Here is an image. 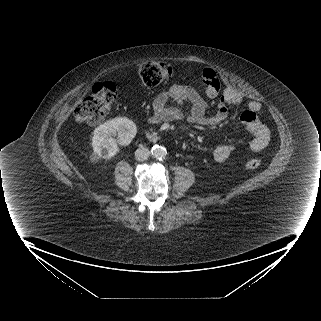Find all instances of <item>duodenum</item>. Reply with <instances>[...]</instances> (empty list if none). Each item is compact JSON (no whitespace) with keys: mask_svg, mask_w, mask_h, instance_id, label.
<instances>
[{"mask_svg":"<svg viewBox=\"0 0 321 321\" xmlns=\"http://www.w3.org/2000/svg\"><path fill=\"white\" fill-rule=\"evenodd\" d=\"M146 135L147 138L152 142L158 141L159 139L158 134H156L155 132H147Z\"/></svg>","mask_w":321,"mask_h":321,"instance_id":"1","label":"duodenum"}]
</instances>
